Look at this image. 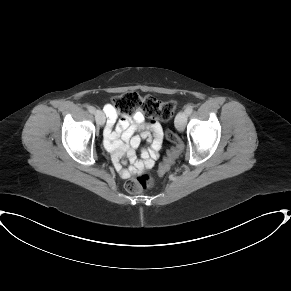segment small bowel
<instances>
[{"instance_id":"c3829d8e","label":"small bowel","mask_w":291,"mask_h":291,"mask_svg":"<svg viewBox=\"0 0 291 291\" xmlns=\"http://www.w3.org/2000/svg\"><path fill=\"white\" fill-rule=\"evenodd\" d=\"M107 116L104 131L105 146L112 155V160L123 178H131L154 166L160 156L163 146V132L159 122L146 121L142 112L137 111L132 116L120 112L113 105L106 104L103 108ZM141 132L140 135H137ZM146 139L150 148L137 153L141 141ZM184 150L180 145L177 156ZM129 165H124V159Z\"/></svg>"}]
</instances>
